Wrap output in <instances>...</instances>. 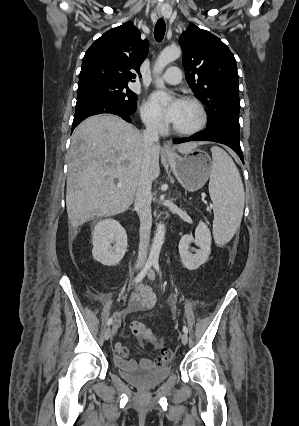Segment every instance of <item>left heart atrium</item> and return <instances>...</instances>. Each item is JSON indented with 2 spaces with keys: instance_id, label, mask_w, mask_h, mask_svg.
I'll use <instances>...</instances> for the list:
<instances>
[{
  "instance_id": "left-heart-atrium-1",
  "label": "left heart atrium",
  "mask_w": 299,
  "mask_h": 426,
  "mask_svg": "<svg viewBox=\"0 0 299 426\" xmlns=\"http://www.w3.org/2000/svg\"><path fill=\"white\" fill-rule=\"evenodd\" d=\"M163 99L164 93H154L151 97V106L157 114L165 118L167 121L175 123L183 101L180 99H174L168 106H164Z\"/></svg>"
}]
</instances>
